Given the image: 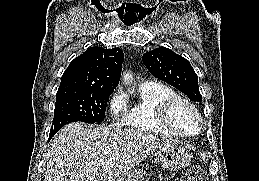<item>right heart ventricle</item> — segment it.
<instances>
[{
    "mask_svg": "<svg viewBox=\"0 0 259 181\" xmlns=\"http://www.w3.org/2000/svg\"><path fill=\"white\" fill-rule=\"evenodd\" d=\"M139 100L127 109L125 126L128 128L168 137H179L160 121V108L169 98L176 96L175 91L166 84L149 81L139 86Z\"/></svg>",
    "mask_w": 259,
    "mask_h": 181,
    "instance_id": "right-heart-ventricle-1",
    "label": "right heart ventricle"
}]
</instances>
